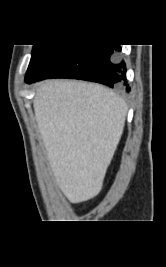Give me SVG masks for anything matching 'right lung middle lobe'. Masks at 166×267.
Here are the masks:
<instances>
[{
	"instance_id": "dd1d6c3e",
	"label": "right lung middle lobe",
	"mask_w": 166,
	"mask_h": 267,
	"mask_svg": "<svg viewBox=\"0 0 166 267\" xmlns=\"http://www.w3.org/2000/svg\"><path fill=\"white\" fill-rule=\"evenodd\" d=\"M52 45H33L32 56L28 70L26 72L25 79L33 72L37 64L40 62L45 53L50 49Z\"/></svg>"
}]
</instances>
